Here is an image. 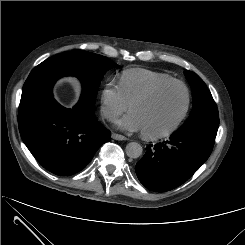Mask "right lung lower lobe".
Listing matches in <instances>:
<instances>
[{
    "label": "right lung lower lobe",
    "mask_w": 245,
    "mask_h": 245,
    "mask_svg": "<svg viewBox=\"0 0 245 245\" xmlns=\"http://www.w3.org/2000/svg\"><path fill=\"white\" fill-rule=\"evenodd\" d=\"M18 126L37 161L60 176L82 170L110 138V131L98 123L93 111L78 104L66 109L53 98L28 114L18 115Z\"/></svg>",
    "instance_id": "98d812e1"
}]
</instances>
